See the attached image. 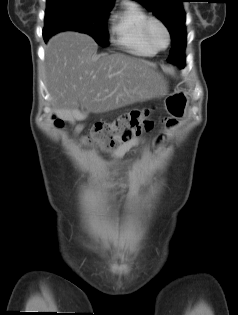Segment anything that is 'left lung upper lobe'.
<instances>
[{"label":"left lung upper lobe","instance_id":"5c2ea615","mask_svg":"<svg viewBox=\"0 0 238 315\" xmlns=\"http://www.w3.org/2000/svg\"><path fill=\"white\" fill-rule=\"evenodd\" d=\"M152 11L168 28L171 36L185 33V13L182 0H135ZM168 61L179 65L178 61L169 55Z\"/></svg>","mask_w":238,"mask_h":315}]
</instances>
